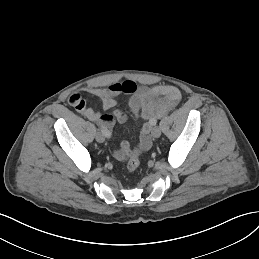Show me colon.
I'll return each mask as SVG.
<instances>
[{
    "mask_svg": "<svg viewBox=\"0 0 259 259\" xmlns=\"http://www.w3.org/2000/svg\"><path fill=\"white\" fill-rule=\"evenodd\" d=\"M140 165V157L136 151H133L128 159L126 168L128 172H134Z\"/></svg>",
    "mask_w": 259,
    "mask_h": 259,
    "instance_id": "1",
    "label": "colon"
}]
</instances>
